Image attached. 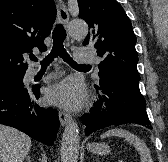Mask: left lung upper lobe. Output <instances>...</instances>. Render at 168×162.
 Wrapping results in <instances>:
<instances>
[{"label":"left lung upper lobe","instance_id":"left-lung-upper-lobe-1","mask_svg":"<svg viewBox=\"0 0 168 162\" xmlns=\"http://www.w3.org/2000/svg\"><path fill=\"white\" fill-rule=\"evenodd\" d=\"M79 17L90 29L83 45H94L102 58L100 80L105 76H119L139 82L136 37L131 21L116 0H78Z\"/></svg>","mask_w":168,"mask_h":162}]
</instances>
